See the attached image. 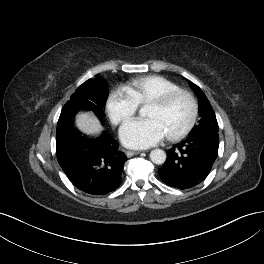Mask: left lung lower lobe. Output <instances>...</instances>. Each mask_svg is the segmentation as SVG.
<instances>
[{
	"instance_id": "obj_1",
	"label": "left lung lower lobe",
	"mask_w": 264,
	"mask_h": 264,
	"mask_svg": "<svg viewBox=\"0 0 264 264\" xmlns=\"http://www.w3.org/2000/svg\"><path fill=\"white\" fill-rule=\"evenodd\" d=\"M218 129L203 128L168 150L162 168V181L178 189H188L201 183L209 174L218 155Z\"/></svg>"
}]
</instances>
